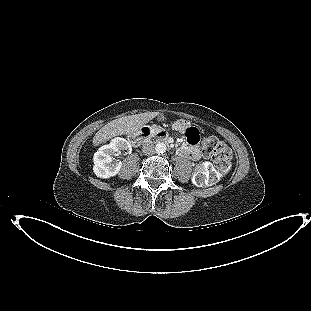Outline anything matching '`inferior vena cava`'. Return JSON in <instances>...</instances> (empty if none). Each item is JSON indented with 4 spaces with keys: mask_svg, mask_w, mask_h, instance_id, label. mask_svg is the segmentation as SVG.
<instances>
[{
    "mask_svg": "<svg viewBox=\"0 0 311 311\" xmlns=\"http://www.w3.org/2000/svg\"><path fill=\"white\" fill-rule=\"evenodd\" d=\"M142 152L145 154V155H153L155 153V148L153 146V144L151 143H145L143 144L142 146Z\"/></svg>",
    "mask_w": 311,
    "mask_h": 311,
    "instance_id": "inferior-vena-cava-1",
    "label": "inferior vena cava"
}]
</instances>
